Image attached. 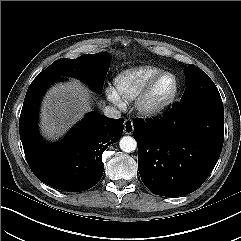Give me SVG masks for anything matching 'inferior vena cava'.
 Segmentation results:
<instances>
[{
	"label": "inferior vena cava",
	"mask_w": 241,
	"mask_h": 241,
	"mask_svg": "<svg viewBox=\"0 0 241 241\" xmlns=\"http://www.w3.org/2000/svg\"><path fill=\"white\" fill-rule=\"evenodd\" d=\"M103 113L108 118L118 119L121 117L120 111L113 106L104 107Z\"/></svg>",
	"instance_id": "obj_1"
}]
</instances>
